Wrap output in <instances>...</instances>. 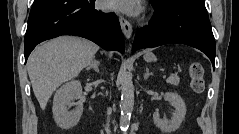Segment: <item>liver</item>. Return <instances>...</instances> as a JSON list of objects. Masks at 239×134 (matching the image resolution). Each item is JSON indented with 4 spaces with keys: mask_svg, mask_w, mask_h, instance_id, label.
Instances as JSON below:
<instances>
[{
    "mask_svg": "<svg viewBox=\"0 0 239 134\" xmlns=\"http://www.w3.org/2000/svg\"><path fill=\"white\" fill-rule=\"evenodd\" d=\"M99 47L86 39L61 36L38 46L27 61L33 92L42 110L53 92L89 66Z\"/></svg>",
    "mask_w": 239,
    "mask_h": 134,
    "instance_id": "1",
    "label": "liver"
}]
</instances>
